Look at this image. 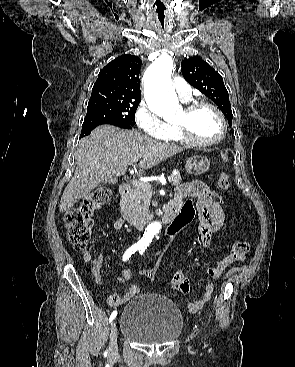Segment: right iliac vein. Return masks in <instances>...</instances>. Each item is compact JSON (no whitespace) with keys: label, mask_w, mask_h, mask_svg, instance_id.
<instances>
[{"label":"right iliac vein","mask_w":295,"mask_h":367,"mask_svg":"<svg viewBox=\"0 0 295 367\" xmlns=\"http://www.w3.org/2000/svg\"><path fill=\"white\" fill-rule=\"evenodd\" d=\"M117 334L118 332L116 323L112 322L110 330V347H109L110 357H115L118 354Z\"/></svg>","instance_id":"63e3f726"}]
</instances>
